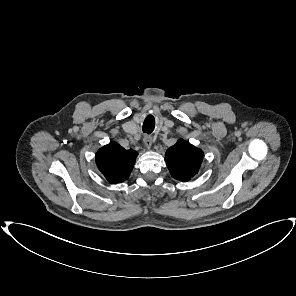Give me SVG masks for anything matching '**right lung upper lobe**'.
Segmentation results:
<instances>
[{"instance_id":"cb5924a9","label":"right lung upper lobe","mask_w":296,"mask_h":296,"mask_svg":"<svg viewBox=\"0 0 296 296\" xmlns=\"http://www.w3.org/2000/svg\"><path fill=\"white\" fill-rule=\"evenodd\" d=\"M137 152L125 150L117 143H109L96 153V164L110 183L128 179L134 166Z\"/></svg>"}]
</instances>
